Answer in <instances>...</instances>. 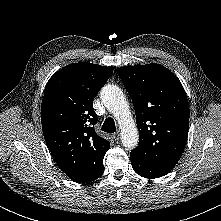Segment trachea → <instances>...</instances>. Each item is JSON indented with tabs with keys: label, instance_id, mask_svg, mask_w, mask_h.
I'll return each mask as SVG.
<instances>
[{
	"label": "trachea",
	"instance_id": "1",
	"mask_svg": "<svg viewBox=\"0 0 221 221\" xmlns=\"http://www.w3.org/2000/svg\"><path fill=\"white\" fill-rule=\"evenodd\" d=\"M102 130L107 133H114L116 131V126H115L114 120L110 117L105 119V121L102 125Z\"/></svg>",
	"mask_w": 221,
	"mask_h": 221
}]
</instances>
